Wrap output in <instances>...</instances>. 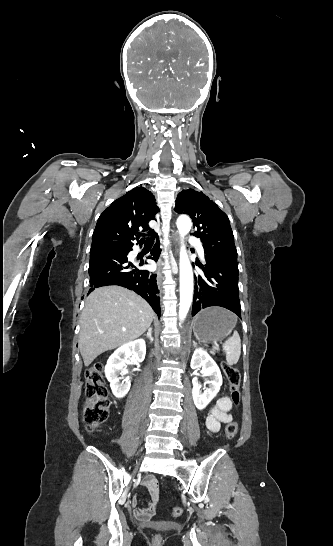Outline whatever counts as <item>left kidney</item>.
Listing matches in <instances>:
<instances>
[{"label":"left kidney","mask_w":333,"mask_h":546,"mask_svg":"<svg viewBox=\"0 0 333 546\" xmlns=\"http://www.w3.org/2000/svg\"><path fill=\"white\" fill-rule=\"evenodd\" d=\"M190 366L195 370L202 368L201 373L204 377H207L205 379V383L209 384V387L203 393H201V385L198 378L195 377L192 380V396L194 404L199 410H202L219 392L220 386L222 385V375L216 362L202 348L194 351Z\"/></svg>","instance_id":"1"}]
</instances>
